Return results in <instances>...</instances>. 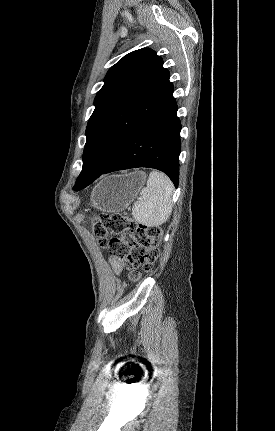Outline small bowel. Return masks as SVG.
Wrapping results in <instances>:
<instances>
[{"instance_id":"1","label":"small bowel","mask_w":275,"mask_h":431,"mask_svg":"<svg viewBox=\"0 0 275 431\" xmlns=\"http://www.w3.org/2000/svg\"><path fill=\"white\" fill-rule=\"evenodd\" d=\"M110 263H111L113 270L117 274H120L122 272V261L119 258L113 256L110 259Z\"/></svg>"}]
</instances>
